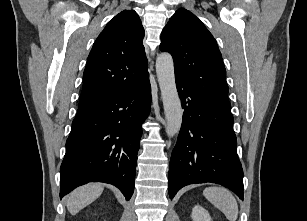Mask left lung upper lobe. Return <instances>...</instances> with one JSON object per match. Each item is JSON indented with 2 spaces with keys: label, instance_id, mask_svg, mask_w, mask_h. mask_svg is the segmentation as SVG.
Returning <instances> with one entry per match:
<instances>
[{
  "label": "left lung upper lobe",
  "instance_id": "left-lung-upper-lobe-1",
  "mask_svg": "<svg viewBox=\"0 0 307 221\" xmlns=\"http://www.w3.org/2000/svg\"><path fill=\"white\" fill-rule=\"evenodd\" d=\"M161 51L174 59L175 76L200 95L230 109L226 70L217 43L204 24L180 8L161 34Z\"/></svg>",
  "mask_w": 307,
  "mask_h": 221
}]
</instances>
